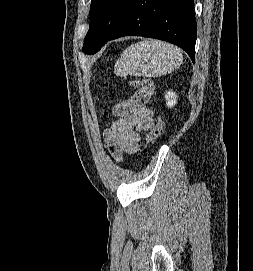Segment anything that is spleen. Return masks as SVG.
I'll return each mask as SVG.
<instances>
[{
	"mask_svg": "<svg viewBox=\"0 0 253 271\" xmlns=\"http://www.w3.org/2000/svg\"><path fill=\"white\" fill-rule=\"evenodd\" d=\"M182 63V53L177 47L159 40H144L126 48L116 63L114 73L160 77L176 70Z\"/></svg>",
	"mask_w": 253,
	"mask_h": 271,
	"instance_id": "obj_1",
	"label": "spleen"
}]
</instances>
